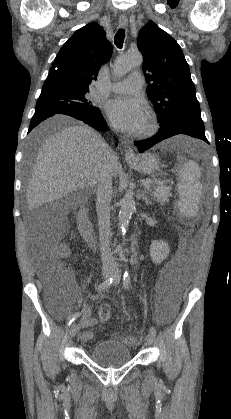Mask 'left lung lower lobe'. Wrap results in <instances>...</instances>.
<instances>
[{"label":"left lung lower lobe","instance_id":"0a47b994","mask_svg":"<svg viewBox=\"0 0 231 419\" xmlns=\"http://www.w3.org/2000/svg\"><path fill=\"white\" fill-rule=\"evenodd\" d=\"M161 126V125H160ZM178 134H185L209 143L204 132V124L198 113H187L178 117L170 124L161 126L158 133L144 141L134 142L139 152H143L158 142Z\"/></svg>","mask_w":231,"mask_h":419}]
</instances>
